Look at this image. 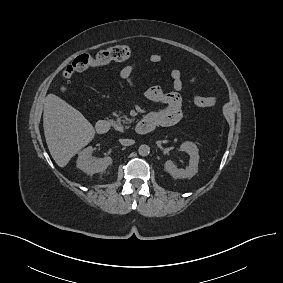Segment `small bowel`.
I'll use <instances>...</instances> for the list:
<instances>
[{"label":"small bowel","mask_w":283,"mask_h":283,"mask_svg":"<svg viewBox=\"0 0 283 283\" xmlns=\"http://www.w3.org/2000/svg\"><path fill=\"white\" fill-rule=\"evenodd\" d=\"M163 57L160 54H151L143 59V62L148 64H158ZM136 69V64H129L121 69L119 78L123 81L133 82V73ZM173 91L165 92L159 86L149 87L145 91V97L151 102H158L163 105L162 108L152 111L147 114L146 118L153 121L155 127H167L178 123L183 116L182 99L180 92L183 89L184 82L180 69L174 68L171 71Z\"/></svg>","instance_id":"small-bowel-1"}]
</instances>
